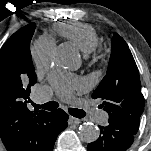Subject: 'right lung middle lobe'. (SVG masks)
<instances>
[{
  "label": "right lung middle lobe",
  "instance_id": "obj_1",
  "mask_svg": "<svg viewBox=\"0 0 151 151\" xmlns=\"http://www.w3.org/2000/svg\"><path fill=\"white\" fill-rule=\"evenodd\" d=\"M34 30V23L22 27L1 48L0 89L27 88L35 84L37 77L29 48Z\"/></svg>",
  "mask_w": 151,
  "mask_h": 151
}]
</instances>
